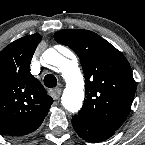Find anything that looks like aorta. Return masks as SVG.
Instances as JSON below:
<instances>
[{"instance_id":"1","label":"aorta","mask_w":145,"mask_h":145,"mask_svg":"<svg viewBox=\"0 0 145 145\" xmlns=\"http://www.w3.org/2000/svg\"><path fill=\"white\" fill-rule=\"evenodd\" d=\"M44 56L46 63L61 70L67 82V87L61 98L62 105L69 112H78L84 98V83L79 68L52 48L48 49Z\"/></svg>"}]
</instances>
